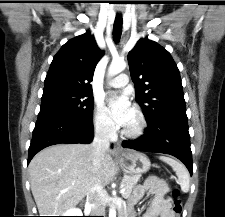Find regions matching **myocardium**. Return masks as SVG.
<instances>
[{"label": "myocardium", "mask_w": 225, "mask_h": 217, "mask_svg": "<svg viewBox=\"0 0 225 217\" xmlns=\"http://www.w3.org/2000/svg\"><path fill=\"white\" fill-rule=\"evenodd\" d=\"M132 112L136 117V122L132 127H125L122 130V134L127 138L137 139L144 134L147 127V121L143 111L138 106H134Z\"/></svg>", "instance_id": "myocardium-1"}]
</instances>
